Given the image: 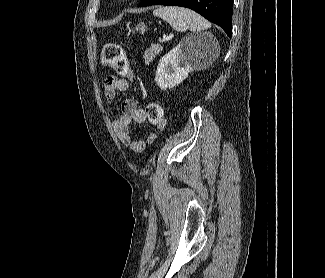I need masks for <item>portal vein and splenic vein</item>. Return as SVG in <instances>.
Masks as SVG:
<instances>
[{
    "instance_id": "portal-vein-and-splenic-vein-1",
    "label": "portal vein and splenic vein",
    "mask_w": 325,
    "mask_h": 278,
    "mask_svg": "<svg viewBox=\"0 0 325 278\" xmlns=\"http://www.w3.org/2000/svg\"><path fill=\"white\" fill-rule=\"evenodd\" d=\"M170 39H172V36H166V35H164L163 38L160 41L161 42H165V41H168Z\"/></svg>"
}]
</instances>
